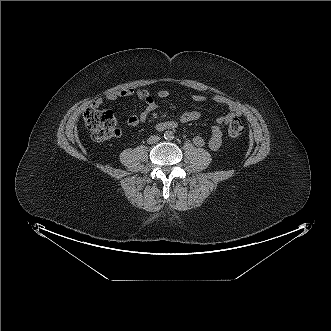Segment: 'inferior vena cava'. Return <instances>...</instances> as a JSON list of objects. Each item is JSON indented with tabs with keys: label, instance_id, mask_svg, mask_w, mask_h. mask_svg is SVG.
<instances>
[{
	"label": "inferior vena cava",
	"instance_id": "inferior-vena-cava-1",
	"mask_svg": "<svg viewBox=\"0 0 331 331\" xmlns=\"http://www.w3.org/2000/svg\"><path fill=\"white\" fill-rule=\"evenodd\" d=\"M159 140H160L159 136L153 135L148 139V142L150 144H154V143H157Z\"/></svg>",
	"mask_w": 331,
	"mask_h": 331
}]
</instances>
